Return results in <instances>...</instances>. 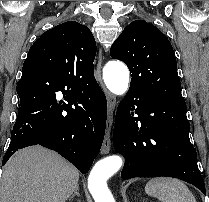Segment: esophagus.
Segmentation results:
<instances>
[{"label": "esophagus", "mask_w": 209, "mask_h": 202, "mask_svg": "<svg viewBox=\"0 0 209 202\" xmlns=\"http://www.w3.org/2000/svg\"><path fill=\"white\" fill-rule=\"evenodd\" d=\"M101 61H102V51L101 49H99V57H98V64L96 70V73L99 77H101ZM103 89L107 97L108 115H107L105 136L101 147V154H107L109 153L111 146V127L113 124V115L116 107V98L104 86Z\"/></svg>", "instance_id": "34e87169"}]
</instances>
